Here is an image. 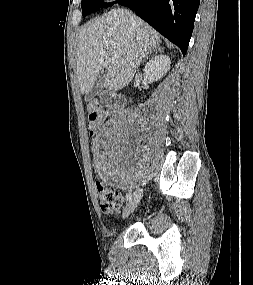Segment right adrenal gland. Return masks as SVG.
Wrapping results in <instances>:
<instances>
[{
    "instance_id": "1",
    "label": "right adrenal gland",
    "mask_w": 253,
    "mask_h": 285,
    "mask_svg": "<svg viewBox=\"0 0 253 285\" xmlns=\"http://www.w3.org/2000/svg\"><path fill=\"white\" fill-rule=\"evenodd\" d=\"M158 51H159V52H162L163 50H162L161 47H156V48L153 49L152 51L146 53L145 56H144V58L147 59L149 55H151V54L154 53V52H158ZM145 59H144L142 62H144Z\"/></svg>"
}]
</instances>
